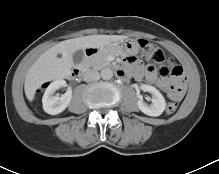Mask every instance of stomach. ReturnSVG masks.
I'll return each instance as SVG.
<instances>
[{
	"mask_svg": "<svg viewBox=\"0 0 219 174\" xmlns=\"http://www.w3.org/2000/svg\"><path fill=\"white\" fill-rule=\"evenodd\" d=\"M139 49L140 46L136 40L125 39L119 42H113L101 48V52L116 51V52H124L129 55H135L139 52Z\"/></svg>",
	"mask_w": 219,
	"mask_h": 174,
	"instance_id": "stomach-1",
	"label": "stomach"
}]
</instances>
